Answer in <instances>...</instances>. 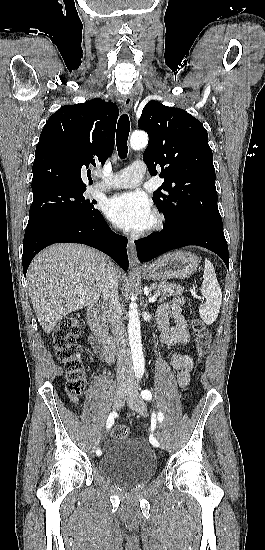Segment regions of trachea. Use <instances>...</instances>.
<instances>
[{
	"label": "trachea",
	"instance_id": "1",
	"mask_svg": "<svg viewBox=\"0 0 265 550\" xmlns=\"http://www.w3.org/2000/svg\"><path fill=\"white\" fill-rule=\"evenodd\" d=\"M130 132V121L127 114L120 116L117 124V133H116V146L118 150L119 157L121 159L126 158L128 147L127 141Z\"/></svg>",
	"mask_w": 265,
	"mask_h": 550
}]
</instances>
